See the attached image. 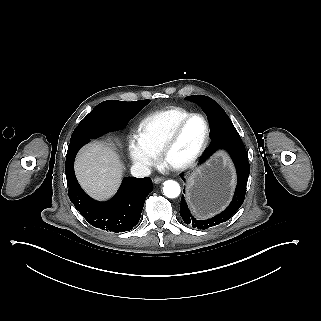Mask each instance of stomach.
<instances>
[{
  "mask_svg": "<svg viewBox=\"0 0 321 321\" xmlns=\"http://www.w3.org/2000/svg\"><path fill=\"white\" fill-rule=\"evenodd\" d=\"M232 187V168L224 157L218 156L191 178L187 197L195 211L207 214L225 204Z\"/></svg>",
  "mask_w": 321,
  "mask_h": 321,
  "instance_id": "obj_1",
  "label": "stomach"
}]
</instances>
